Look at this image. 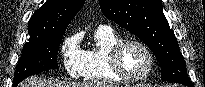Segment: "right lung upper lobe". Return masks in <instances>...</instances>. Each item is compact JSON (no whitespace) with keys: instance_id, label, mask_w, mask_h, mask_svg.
I'll return each mask as SVG.
<instances>
[{"instance_id":"obj_1","label":"right lung upper lobe","mask_w":205,"mask_h":87,"mask_svg":"<svg viewBox=\"0 0 205 87\" xmlns=\"http://www.w3.org/2000/svg\"><path fill=\"white\" fill-rule=\"evenodd\" d=\"M85 0H47L29 20L30 38L64 33Z\"/></svg>"}]
</instances>
